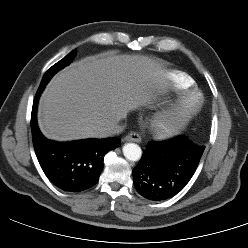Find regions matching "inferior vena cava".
I'll use <instances>...</instances> for the list:
<instances>
[{
    "mask_svg": "<svg viewBox=\"0 0 248 248\" xmlns=\"http://www.w3.org/2000/svg\"><path fill=\"white\" fill-rule=\"evenodd\" d=\"M124 128H125V125L114 123L106 129L105 136L108 137V136L119 134L124 130Z\"/></svg>",
    "mask_w": 248,
    "mask_h": 248,
    "instance_id": "inferior-vena-cava-1",
    "label": "inferior vena cava"
}]
</instances>
